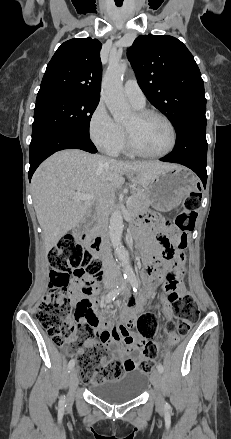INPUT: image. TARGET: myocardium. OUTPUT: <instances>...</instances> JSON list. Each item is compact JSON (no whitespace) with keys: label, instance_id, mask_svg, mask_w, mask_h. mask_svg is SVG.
<instances>
[{"label":"myocardium","instance_id":"myocardium-1","mask_svg":"<svg viewBox=\"0 0 231 439\" xmlns=\"http://www.w3.org/2000/svg\"><path fill=\"white\" fill-rule=\"evenodd\" d=\"M136 115L138 118L143 119L149 116H155L158 117L160 119H162L167 126L170 129L171 132V143L169 145V147L160 152V153H146L143 152L142 150H140L136 144L133 141L132 138V134L129 131L128 128H124V133H125V144L127 149L129 150L130 153H132L135 156L141 157V158H146V159H157V158H162L167 156L168 154H170L176 147L177 144V131L176 128L173 124V122L170 120V118H168L165 114H163L162 112H159L157 110H153V109H139L136 111Z\"/></svg>","mask_w":231,"mask_h":439}]
</instances>
